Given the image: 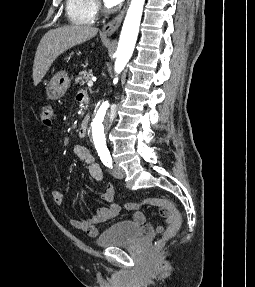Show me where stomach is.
<instances>
[{
	"label": "stomach",
	"instance_id": "obj_1",
	"mask_svg": "<svg viewBox=\"0 0 255 287\" xmlns=\"http://www.w3.org/2000/svg\"><path fill=\"white\" fill-rule=\"evenodd\" d=\"M69 84L70 80L67 74L53 76L46 88L47 100H60V98H63Z\"/></svg>",
	"mask_w": 255,
	"mask_h": 287
}]
</instances>
